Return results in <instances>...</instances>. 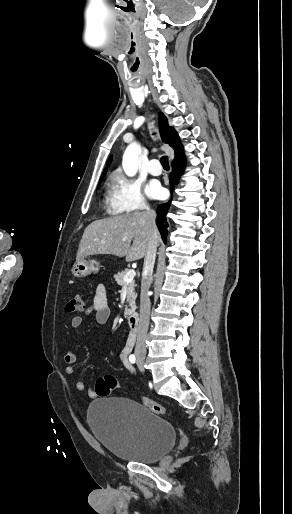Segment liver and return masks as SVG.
Here are the masks:
<instances>
[{"label": "liver", "instance_id": "obj_1", "mask_svg": "<svg viewBox=\"0 0 292 514\" xmlns=\"http://www.w3.org/2000/svg\"><path fill=\"white\" fill-rule=\"evenodd\" d=\"M157 236V240H161L158 232ZM148 240L147 212H132L124 216L96 220L86 228L82 236L77 260L94 254H113L119 258L126 256V262H134L146 256Z\"/></svg>", "mask_w": 292, "mask_h": 514}]
</instances>
